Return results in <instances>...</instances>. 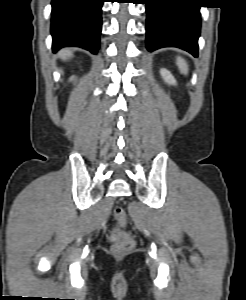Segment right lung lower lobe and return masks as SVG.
<instances>
[{
    "label": "right lung lower lobe",
    "mask_w": 246,
    "mask_h": 300,
    "mask_svg": "<svg viewBox=\"0 0 246 300\" xmlns=\"http://www.w3.org/2000/svg\"><path fill=\"white\" fill-rule=\"evenodd\" d=\"M104 0H52L53 51L78 46L96 54L100 46Z\"/></svg>",
    "instance_id": "98d812e1"
}]
</instances>
